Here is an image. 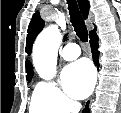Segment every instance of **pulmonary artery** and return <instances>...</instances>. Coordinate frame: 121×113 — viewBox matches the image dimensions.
Returning <instances> with one entry per match:
<instances>
[{"label": "pulmonary artery", "mask_w": 121, "mask_h": 113, "mask_svg": "<svg viewBox=\"0 0 121 113\" xmlns=\"http://www.w3.org/2000/svg\"><path fill=\"white\" fill-rule=\"evenodd\" d=\"M80 54V48L76 43L67 44L61 52L62 58L66 61H72L78 58Z\"/></svg>", "instance_id": "obj_1"}]
</instances>
